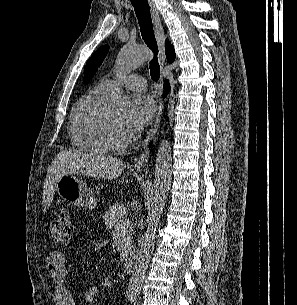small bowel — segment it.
I'll use <instances>...</instances> for the list:
<instances>
[{"mask_svg":"<svg viewBox=\"0 0 297 305\" xmlns=\"http://www.w3.org/2000/svg\"><path fill=\"white\" fill-rule=\"evenodd\" d=\"M47 266L55 284V293L60 305H77L68 284L65 256L60 251H52L47 255ZM100 293L98 287H91L85 293V301L91 304Z\"/></svg>","mask_w":297,"mask_h":305,"instance_id":"c3829d8e","label":"small bowel"}]
</instances>
